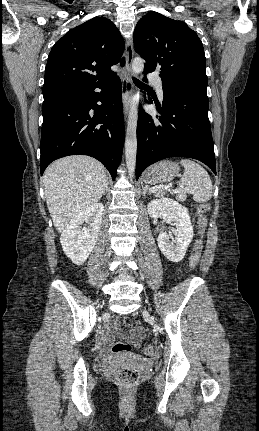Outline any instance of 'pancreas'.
Returning a JSON list of instances; mask_svg holds the SVG:
<instances>
[{
  "label": "pancreas",
  "instance_id": "obj_1",
  "mask_svg": "<svg viewBox=\"0 0 259 431\" xmlns=\"http://www.w3.org/2000/svg\"><path fill=\"white\" fill-rule=\"evenodd\" d=\"M164 194H165V192L161 190V191L156 193V196H163Z\"/></svg>",
  "mask_w": 259,
  "mask_h": 431
}]
</instances>
